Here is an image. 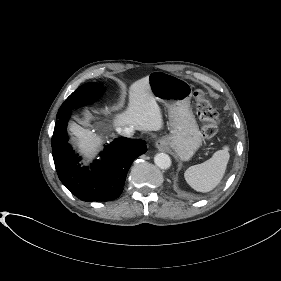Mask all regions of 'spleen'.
I'll list each match as a JSON object with an SVG mask.
<instances>
[{
	"label": "spleen",
	"mask_w": 281,
	"mask_h": 281,
	"mask_svg": "<svg viewBox=\"0 0 281 281\" xmlns=\"http://www.w3.org/2000/svg\"><path fill=\"white\" fill-rule=\"evenodd\" d=\"M229 157V149L226 146L216 151L207 161L189 167L184 173L185 180L196 191H211L223 178Z\"/></svg>",
	"instance_id": "obj_1"
}]
</instances>
